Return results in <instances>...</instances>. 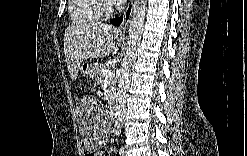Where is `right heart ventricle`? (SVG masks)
Instances as JSON below:
<instances>
[{"label":"right heart ventricle","instance_id":"obj_1","mask_svg":"<svg viewBox=\"0 0 247 156\" xmlns=\"http://www.w3.org/2000/svg\"><path fill=\"white\" fill-rule=\"evenodd\" d=\"M97 0H72L69 3V15L74 24L84 25L100 20Z\"/></svg>","mask_w":247,"mask_h":156}]
</instances>
